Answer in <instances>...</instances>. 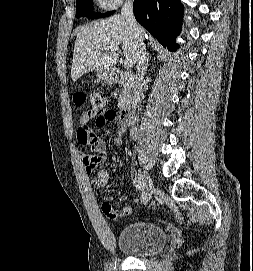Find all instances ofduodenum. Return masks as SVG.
I'll use <instances>...</instances> for the list:
<instances>
[{
  "mask_svg": "<svg viewBox=\"0 0 253 271\" xmlns=\"http://www.w3.org/2000/svg\"><path fill=\"white\" fill-rule=\"evenodd\" d=\"M133 77L132 73H124V72H114L113 80L115 82H121L123 80H128ZM137 115V109L134 103H128L121 108L120 111V120L124 125H129L134 122Z\"/></svg>",
  "mask_w": 253,
  "mask_h": 271,
  "instance_id": "1",
  "label": "duodenum"
}]
</instances>
